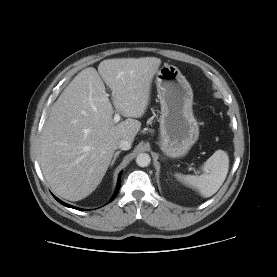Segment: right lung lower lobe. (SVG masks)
<instances>
[{"label": "right lung lower lobe", "mask_w": 277, "mask_h": 277, "mask_svg": "<svg viewBox=\"0 0 277 277\" xmlns=\"http://www.w3.org/2000/svg\"><path fill=\"white\" fill-rule=\"evenodd\" d=\"M119 189H120V179H119V181H118V185H117L116 193H115V196L113 197V199L116 197V195H117V193H118ZM54 198H55V199H56L59 203L63 204V205H64V206H66V207L74 208V209H77V210H83V209H80V208H77V207L71 206V205H69V204H67V203H64V202H62L60 199H58V198H57V197H55V196H54ZM113 199H112V200H113Z\"/></svg>", "instance_id": "obj_1"}]
</instances>
